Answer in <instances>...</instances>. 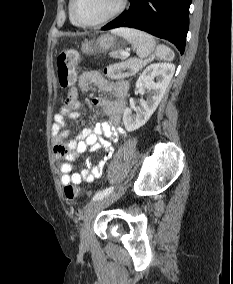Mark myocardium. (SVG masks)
<instances>
[{"instance_id":"obj_1","label":"myocardium","mask_w":233,"mask_h":284,"mask_svg":"<svg viewBox=\"0 0 233 284\" xmlns=\"http://www.w3.org/2000/svg\"><path fill=\"white\" fill-rule=\"evenodd\" d=\"M76 4H77V0H71L70 12H71L72 18L77 23V25L84 26V27H96V26L109 22L113 20L114 18H116L118 15H120L127 5V0H119L117 7L111 13H109L102 19L95 21V22H84L80 20L76 13Z\"/></svg>"}]
</instances>
